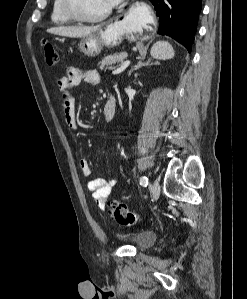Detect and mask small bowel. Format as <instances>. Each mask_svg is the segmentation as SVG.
I'll list each match as a JSON object with an SVG mask.
<instances>
[{
	"mask_svg": "<svg viewBox=\"0 0 247 299\" xmlns=\"http://www.w3.org/2000/svg\"><path fill=\"white\" fill-rule=\"evenodd\" d=\"M100 77L95 70H78L76 68H68L66 74L57 78V87L62 97V109L66 124L71 129L78 128V120L76 115L75 98L73 90L78 85L99 83ZM115 102L114 98L108 101ZM80 169L84 176L91 174V167L86 159L80 161ZM116 184L114 179L95 178L88 182V189L92 192L94 201L100 209H104L106 202Z\"/></svg>",
	"mask_w": 247,
	"mask_h": 299,
	"instance_id": "small-bowel-1",
	"label": "small bowel"
}]
</instances>
